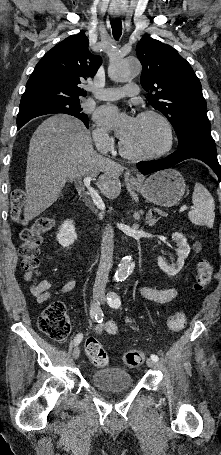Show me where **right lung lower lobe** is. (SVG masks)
<instances>
[{
    "instance_id": "98d812e1",
    "label": "right lung lower lobe",
    "mask_w": 221,
    "mask_h": 455,
    "mask_svg": "<svg viewBox=\"0 0 221 455\" xmlns=\"http://www.w3.org/2000/svg\"><path fill=\"white\" fill-rule=\"evenodd\" d=\"M30 120V119H29ZM29 120H26L20 124H17V129H20L24 124H26Z\"/></svg>"
}]
</instances>
